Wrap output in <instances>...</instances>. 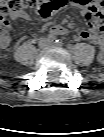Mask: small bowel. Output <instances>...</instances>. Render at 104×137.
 <instances>
[{
	"label": "small bowel",
	"instance_id": "small-bowel-1",
	"mask_svg": "<svg viewBox=\"0 0 104 137\" xmlns=\"http://www.w3.org/2000/svg\"><path fill=\"white\" fill-rule=\"evenodd\" d=\"M70 3L80 9L83 18L89 24L88 29H83L77 32L76 39L92 41L95 44L102 46V33L104 27L102 25L101 6L96 4L95 0H71ZM20 17L23 19H29V16L26 14L20 15ZM52 33L62 35L67 33V29L62 26H55L52 29ZM10 42L11 37L8 33L0 36L1 48H7Z\"/></svg>",
	"mask_w": 104,
	"mask_h": 137
}]
</instances>
